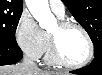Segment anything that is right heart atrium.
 <instances>
[{
    "instance_id": "1",
    "label": "right heart atrium",
    "mask_w": 102,
    "mask_h": 75,
    "mask_svg": "<svg viewBox=\"0 0 102 75\" xmlns=\"http://www.w3.org/2000/svg\"><path fill=\"white\" fill-rule=\"evenodd\" d=\"M15 38L22 50L34 60L40 59L46 48V37L34 18L23 13L15 28Z\"/></svg>"
}]
</instances>
